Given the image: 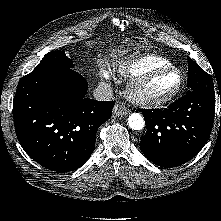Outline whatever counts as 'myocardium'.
<instances>
[{
	"instance_id": "f54148a6",
	"label": "myocardium",
	"mask_w": 221,
	"mask_h": 221,
	"mask_svg": "<svg viewBox=\"0 0 221 221\" xmlns=\"http://www.w3.org/2000/svg\"><path fill=\"white\" fill-rule=\"evenodd\" d=\"M168 72H175L179 76V81L176 87L171 90L170 92L162 95H148L144 93V88L147 84L152 81L157 76L168 73ZM184 75L182 71L175 67H164L151 70L146 72L142 75L134 77L127 86V97L128 99L140 106H147V107H156L164 105L170 101H172L178 94L181 92L184 86Z\"/></svg>"
}]
</instances>
